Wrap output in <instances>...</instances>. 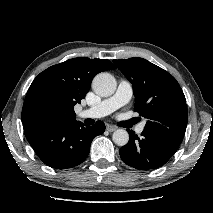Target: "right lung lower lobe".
Instances as JSON below:
<instances>
[{"mask_svg": "<svg viewBox=\"0 0 213 213\" xmlns=\"http://www.w3.org/2000/svg\"><path fill=\"white\" fill-rule=\"evenodd\" d=\"M23 128L26 139L46 165L66 169L87 158L92 140L104 133L105 124L101 121L94 126H85L80 121L66 125L29 122Z\"/></svg>", "mask_w": 213, "mask_h": 213, "instance_id": "1", "label": "right lung lower lobe"}]
</instances>
